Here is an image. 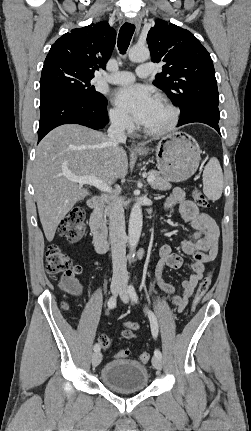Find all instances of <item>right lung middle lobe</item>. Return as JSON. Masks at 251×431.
<instances>
[{
    "instance_id": "obj_1",
    "label": "right lung middle lobe",
    "mask_w": 251,
    "mask_h": 431,
    "mask_svg": "<svg viewBox=\"0 0 251 431\" xmlns=\"http://www.w3.org/2000/svg\"><path fill=\"white\" fill-rule=\"evenodd\" d=\"M93 74L86 73L69 64H52L43 68L40 80L41 97L63 93L77 98L103 102L106 98L91 85Z\"/></svg>"
}]
</instances>
